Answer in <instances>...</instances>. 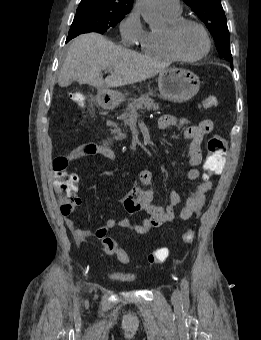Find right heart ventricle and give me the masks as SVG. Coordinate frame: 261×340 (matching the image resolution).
<instances>
[{
  "mask_svg": "<svg viewBox=\"0 0 261 340\" xmlns=\"http://www.w3.org/2000/svg\"><path fill=\"white\" fill-rule=\"evenodd\" d=\"M164 13L168 25L181 18L180 13L173 14L165 11ZM138 43L142 52L150 57L161 60L176 59L167 48L165 41V29L144 31L138 40Z\"/></svg>",
  "mask_w": 261,
  "mask_h": 340,
  "instance_id": "right-heart-ventricle-1",
  "label": "right heart ventricle"
}]
</instances>
